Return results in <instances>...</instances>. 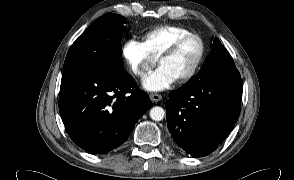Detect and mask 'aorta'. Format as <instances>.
<instances>
[{
  "mask_svg": "<svg viewBox=\"0 0 294 180\" xmlns=\"http://www.w3.org/2000/svg\"><path fill=\"white\" fill-rule=\"evenodd\" d=\"M150 117L154 121H161L165 116V111L162 107L155 106L150 110Z\"/></svg>",
  "mask_w": 294,
  "mask_h": 180,
  "instance_id": "1",
  "label": "aorta"
}]
</instances>
